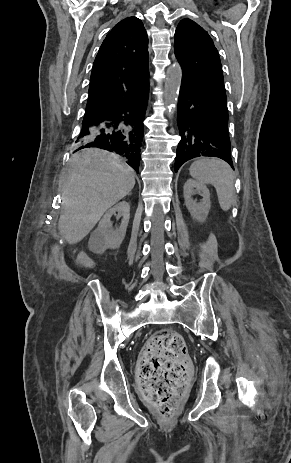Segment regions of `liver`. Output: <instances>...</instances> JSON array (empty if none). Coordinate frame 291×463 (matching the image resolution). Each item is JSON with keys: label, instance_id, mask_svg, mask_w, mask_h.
<instances>
[{"label": "liver", "instance_id": "obj_1", "mask_svg": "<svg viewBox=\"0 0 291 463\" xmlns=\"http://www.w3.org/2000/svg\"><path fill=\"white\" fill-rule=\"evenodd\" d=\"M135 185V173L113 153L87 148L72 155L62 186L59 230L69 244L80 242L102 215Z\"/></svg>", "mask_w": 291, "mask_h": 463}]
</instances>
